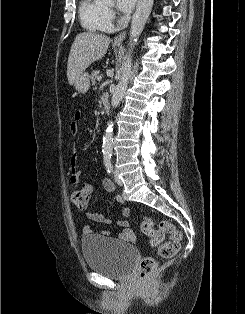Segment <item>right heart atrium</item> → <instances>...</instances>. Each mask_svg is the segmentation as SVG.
Listing matches in <instances>:
<instances>
[{"label": "right heart atrium", "mask_w": 245, "mask_h": 314, "mask_svg": "<svg viewBox=\"0 0 245 314\" xmlns=\"http://www.w3.org/2000/svg\"><path fill=\"white\" fill-rule=\"evenodd\" d=\"M115 18V14L112 10H108L107 11V21L108 23L111 25V22L113 21V19ZM112 27V26H111Z\"/></svg>", "instance_id": "right-heart-atrium-1"}]
</instances>
